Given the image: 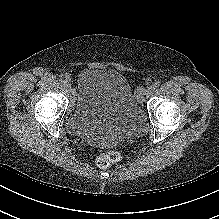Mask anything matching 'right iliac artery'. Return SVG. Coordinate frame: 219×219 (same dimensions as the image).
I'll use <instances>...</instances> for the list:
<instances>
[{
  "label": "right iliac artery",
  "mask_w": 219,
  "mask_h": 219,
  "mask_svg": "<svg viewBox=\"0 0 219 219\" xmlns=\"http://www.w3.org/2000/svg\"><path fill=\"white\" fill-rule=\"evenodd\" d=\"M67 78H68V77H67L66 75H61L60 78H59V81H60L61 83H66Z\"/></svg>",
  "instance_id": "82829eb1"
}]
</instances>
